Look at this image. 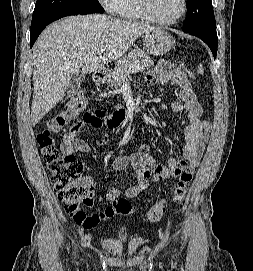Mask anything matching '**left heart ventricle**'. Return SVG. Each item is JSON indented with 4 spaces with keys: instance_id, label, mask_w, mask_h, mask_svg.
I'll return each instance as SVG.
<instances>
[{
    "instance_id": "b2bd125f",
    "label": "left heart ventricle",
    "mask_w": 253,
    "mask_h": 271,
    "mask_svg": "<svg viewBox=\"0 0 253 271\" xmlns=\"http://www.w3.org/2000/svg\"><path fill=\"white\" fill-rule=\"evenodd\" d=\"M148 5L156 18L168 20L180 13L182 0H148Z\"/></svg>"
}]
</instances>
